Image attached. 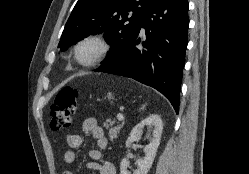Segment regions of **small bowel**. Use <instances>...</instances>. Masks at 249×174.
Wrapping results in <instances>:
<instances>
[{"label":"small bowel","mask_w":249,"mask_h":174,"mask_svg":"<svg viewBox=\"0 0 249 174\" xmlns=\"http://www.w3.org/2000/svg\"><path fill=\"white\" fill-rule=\"evenodd\" d=\"M81 129L83 133L91 135L97 146V149H91L86 152V155L92 159L91 162L86 164V168L96 170L98 174H116L115 167L110 162H99L102 158V150L108 147V140L103 129L97 125L96 119H85ZM66 142L70 149L64 153L63 159L66 163L72 164L77 158L75 149L80 148L83 144V136L80 134H68ZM63 174H72V172L67 170Z\"/></svg>","instance_id":"obj_1"}]
</instances>
